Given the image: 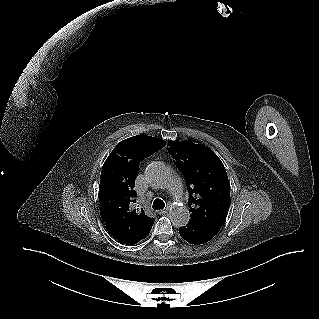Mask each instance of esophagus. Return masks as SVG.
<instances>
[{
  "label": "esophagus",
  "mask_w": 319,
  "mask_h": 319,
  "mask_svg": "<svg viewBox=\"0 0 319 319\" xmlns=\"http://www.w3.org/2000/svg\"><path fill=\"white\" fill-rule=\"evenodd\" d=\"M168 212V209H163V210H160L158 213L160 214V215H164V214H166Z\"/></svg>",
  "instance_id": "34e87169"
}]
</instances>
